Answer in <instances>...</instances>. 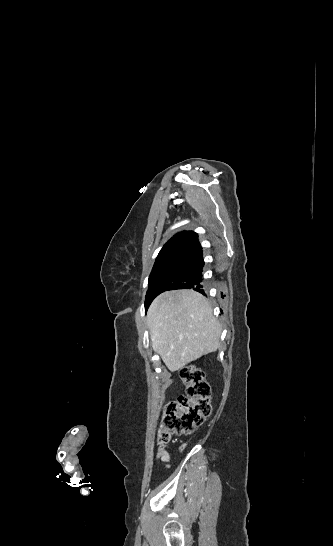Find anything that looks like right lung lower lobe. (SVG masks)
I'll return each instance as SVG.
<instances>
[{"label": "right lung lower lobe", "instance_id": "right-lung-lower-lobe-1", "mask_svg": "<svg viewBox=\"0 0 333 546\" xmlns=\"http://www.w3.org/2000/svg\"><path fill=\"white\" fill-rule=\"evenodd\" d=\"M204 260L202 247L198 246L187 251L173 266L159 279L154 298L160 293L174 289H194L205 295L202 285V271ZM152 301L145 304V309Z\"/></svg>", "mask_w": 333, "mask_h": 546}]
</instances>
